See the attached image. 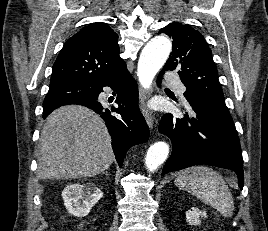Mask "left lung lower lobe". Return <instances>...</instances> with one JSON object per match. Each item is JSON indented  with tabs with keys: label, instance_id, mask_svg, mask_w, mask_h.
<instances>
[{
	"label": "left lung lower lobe",
	"instance_id": "obj_1",
	"mask_svg": "<svg viewBox=\"0 0 268 231\" xmlns=\"http://www.w3.org/2000/svg\"><path fill=\"white\" fill-rule=\"evenodd\" d=\"M158 76L160 84L161 76ZM190 113L184 118L172 114L162 116L159 132L167 135L173 145L162 175L193 165H211L233 170L244 185L243 159L235 125L212 109L187 100Z\"/></svg>",
	"mask_w": 268,
	"mask_h": 231
}]
</instances>
